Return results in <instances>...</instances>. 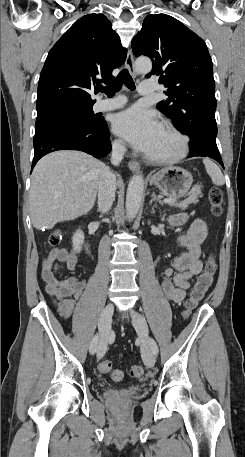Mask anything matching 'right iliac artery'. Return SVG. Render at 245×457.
I'll list each match as a JSON object with an SVG mask.
<instances>
[{"label":"right iliac artery","instance_id":"1","mask_svg":"<svg viewBox=\"0 0 245 457\" xmlns=\"http://www.w3.org/2000/svg\"><path fill=\"white\" fill-rule=\"evenodd\" d=\"M98 340H99V334H96L93 337V339L91 341V344H90L89 351H90L91 354H94L96 352Z\"/></svg>","mask_w":245,"mask_h":457}]
</instances>
